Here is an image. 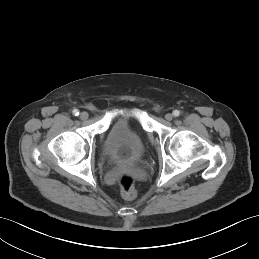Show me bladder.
Masks as SVG:
<instances>
[{"label":"bladder","instance_id":"1","mask_svg":"<svg viewBox=\"0 0 259 259\" xmlns=\"http://www.w3.org/2000/svg\"><path fill=\"white\" fill-rule=\"evenodd\" d=\"M103 152L112 162L133 163L143 157L145 148L141 134L131 128L127 118L119 117L107 130Z\"/></svg>","mask_w":259,"mask_h":259}]
</instances>
